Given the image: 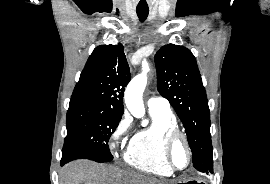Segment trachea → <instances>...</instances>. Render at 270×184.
<instances>
[{
  "label": "trachea",
  "instance_id": "1",
  "mask_svg": "<svg viewBox=\"0 0 270 184\" xmlns=\"http://www.w3.org/2000/svg\"><path fill=\"white\" fill-rule=\"evenodd\" d=\"M136 11H137V15H138L140 21H142V22L145 21L148 14H149V10L148 9H137Z\"/></svg>",
  "mask_w": 270,
  "mask_h": 184
}]
</instances>
